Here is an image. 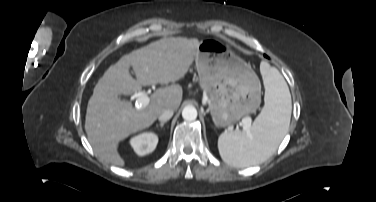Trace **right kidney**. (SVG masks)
Listing matches in <instances>:
<instances>
[{
	"label": "right kidney",
	"mask_w": 376,
	"mask_h": 202,
	"mask_svg": "<svg viewBox=\"0 0 376 202\" xmlns=\"http://www.w3.org/2000/svg\"><path fill=\"white\" fill-rule=\"evenodd\" d=\"M157 143L158 137L153 132L140 133L133 137L130 141L134 151L140 156H144L154 151Z\"/></svg>",
	"instance_id": "right-kidney-1"
}]
</instances>
